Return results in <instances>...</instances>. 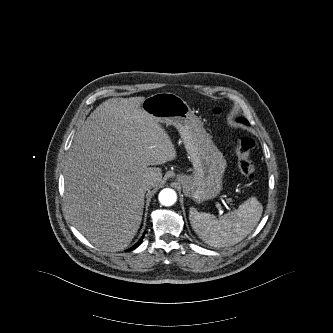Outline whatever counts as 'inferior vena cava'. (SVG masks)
Here are the masks:
<instances>
[{
    "mask_svg": "<svg viewBox=\"0 0 333 333\" xmlns=\"http://www.w3.org/2000/svg\"><path fill=\"white\" fill-rule=\"evenodd\" d=\"M155 183H156V179L153 177H149L145 180L144 186L148 189V188H151L152 186H154Z\"/></svg>",
    "mask_w": 333,
    "mask_h": 333,
    "instance_id": "inferior-vena-cava-1",
    "label": "inferior vena cava"
}]
</instances>
